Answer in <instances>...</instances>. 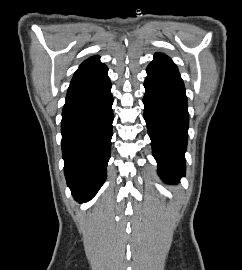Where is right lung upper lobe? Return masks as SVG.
Returning <instances> with one entry per match:
<instances>
[{
	"label": "right lung upper lobe",
	"instance_id": "cb5924a9",
	"mask_svg": "<svg viewBox=\"0 0 242 270\" xmlns=\"http://www.w3.org/2000/svg\"><path fill=\"white\" fill-rule=\"evenodd\" d=\"M98 62H99V56H93V57H91V58L85 60V61L80 65V67H79L78 70L75 72V74L78 73V72H80V71H82V70H85V69H87V68H89V67H91V66H93V65H95V64H97Z\"/></svg>",
	"mask_w": 242,
	"mask_h": 270
}]
</instances>
